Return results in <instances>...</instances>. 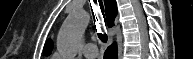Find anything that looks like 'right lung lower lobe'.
Masks as SVG:
<instances>
[{"instance_id": "1", "label": "right lung lower lobe", "mask_w": 193, "mask_h": 59, "mask_svg": "<svg viewBox=\"0 0 193 59\" xmlns=\"http://www.w3.org/2000/svg\"><path fill=\"white\" fill-rule=\"evenodd\" d=\"M104 59H117V49L115 46H110L104 54Z\"/></svg>"}]
</instances>
